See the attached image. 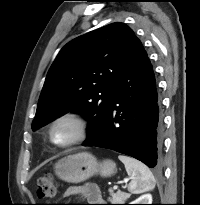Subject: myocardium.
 I'll return each mask as SVG.
<instances>
[{
  "label": "myocardium",
  "mask_w": 200,
  "mask_h": 205,
  "mask_svg": "<svg viewBox=\"0 0 200 205\" xmlns=\"http://www.w3.org/2000/svg\"><path fill=\"white\" fill-rule=\"evenodd\" d=\"M68 123L73 126V136L65 142H57L54 139V131L57 126ZM88 134V122L86 118L79 112L68 111L57 116L50 124L48 129L49 141L59 148H68L82 142Z\"/></svg>",
  "instance_id": "myocardium-1"
}]
</instances>
